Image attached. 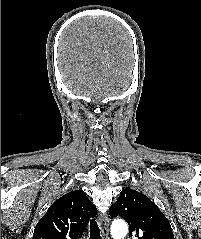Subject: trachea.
Wrapping results in <instances>:
<instances>
[{"label": "trachea", "instance_id": "trachea-1", "mask_svg": "<svg viewBox=\"0 0 201 239\" xmlns=\"http://www.w3.org/2000/svg\"><path fill=\"white\" fill-rule=\"evenodd\" d=\"M90 239H102L99 225L95 219L90 221Z\"/></svg>", "mask_w": 201, "mask_h": 239}]
</instances>
